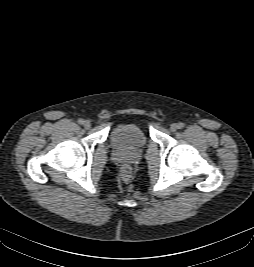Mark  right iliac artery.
<instances>
[{
  "mask_svg": "<svg viewBox=\"0 0 254 267\" xmlns=\"http://www.w3.org/2000/svg\"><path fill=\"white\" fill-rule=\"evenodd\" d=\"M78 123H79V124H83V123H84V120H83V119H79V120H78Z\"/></svg>",
  "mask_w": 254,
  "mask_h": 267,
  "instance_id": "82829eb1",
  "label": "right iliac artery"
}]
</instances>
